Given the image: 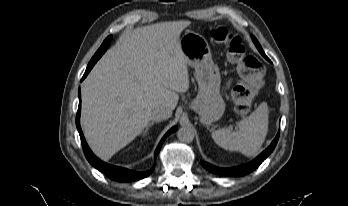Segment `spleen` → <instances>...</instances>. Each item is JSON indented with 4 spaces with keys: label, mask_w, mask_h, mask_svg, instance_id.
<instances>
[{
    "label": "spleen",
    "mask_w": 348,
    "mask_h": 206,
    "mask_svg": "<svg viewBox=\"0 0 348 206\" xmlns=\"http://www.w3.org/2000/svg\"><path fill=\"white\" fill-rule=\"evenodd\" d=\"M238 130L221 128L212 132L214 142L225 150L239 151L248 157L255 156L268 132V108L260 104L248 117L237 123Z\"/></svg>",
    "instance_id": "3e777b00"
}]
</instances>
